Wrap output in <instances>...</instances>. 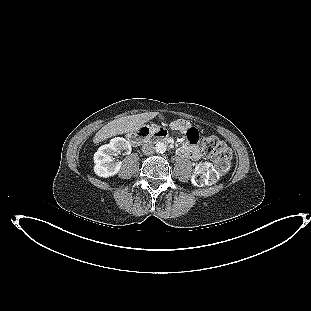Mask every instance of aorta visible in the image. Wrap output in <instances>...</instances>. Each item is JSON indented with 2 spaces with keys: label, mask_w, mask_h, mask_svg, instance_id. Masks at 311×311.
I'll use <instances>...</instances> for the list:
<instances>
[{
  "label": "aorta",
  "mask_w": 311,
  "mask_h": 311,
  "mask_svg": "<svg viewBox=\"0 0 311 311\" xmlns=\"http://www.w3.org/2000/svg\"><path fill=\"white\" fill-rule=\"evenodd\" d=\"M166 144L163 143V142H158L156 145H155V150L156 152L158 153H164L166 151Z\"/></svg>",
  "instance_id": "762f6f07"
}]
</instances>
